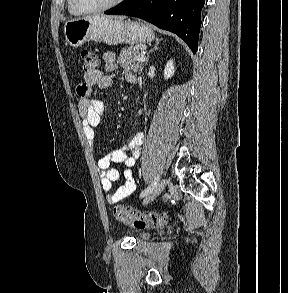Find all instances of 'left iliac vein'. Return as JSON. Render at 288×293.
Returning a JSON list of instances; mask_svg holds the SVG:
<instances>
[{"mask_svg": "<svg viewBox=\"0 0 288 293\" xmlns=\"http://www.w3.org/2000/svg\"><path fill=\"white\" fill-rule=\"evenodd\" d=\"M168 183V179L164 178L162 179L156 187L148 194L143 200V204H148L151 201H153L157 196L160 195V193L164 190Z\"/></svg>", "mask_w": 288, "mask_h": 293, "instance_id": "4c4485c4", "label": "left iliac vein"}]
</instances>
